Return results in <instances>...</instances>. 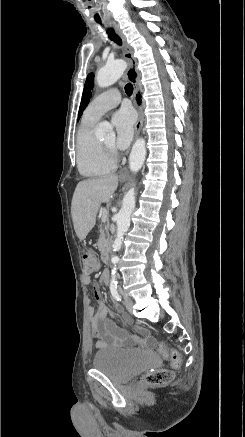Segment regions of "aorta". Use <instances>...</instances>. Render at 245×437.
Here are the masks:
<instances>
[{"label": "aorta", "instance_id": "obj_1", "mask_svg": "<svg viewBox=\"0 0 245 437\" xmlns=\"http://www.w3.org/2000/svg\"><path fill=\"white\" fill-rule=\"evenodd\" d=\"M126 63L123 60H117L113 63L107 64L105 67L99 70L96 76L97 84L100 87H109L114 84L124 73ZM112 131L111 125L107 123H101L96 130L97 137H105L107 133ZM146 146L145 140L139 138L133 145L129 156V167L134 173L138 172L145 160ZM135 208V192L134 189H130L123 198L122 207L116 215L117 231L114 242L112 244L113 251H119L123 244V237L128 231L130 226L131 214ZM119 258L115 255L111 256V262L116 264ZM116 277L115 269H112L111 278L114 280Z\"/></svg>", "mask_w": 245, "mask_h": 437}]
</instances>
